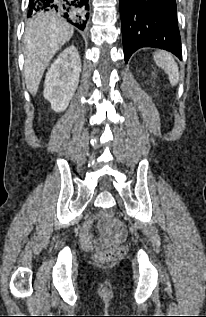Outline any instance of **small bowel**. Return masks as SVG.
Returning <instances> with one entry per match:
<instances>
[{"instance_id": "c3829d8e", "label": "small bowel", "mask_w": 206, "mask_h": 317, "mask_svg": "<svg viewBox=\"0 0 206 317\" xmlns=\"http://www.w3.org/2000/svg\"><path fill=\"white\" fill-rule=\"evenodd\" d=\"M98 216L93 215L82 225L80 230V238L83 244L86 246L87 243L92 239L91 230L93 224L96 222ZM125 236V231L122 226H118L115 230L114 237L118 240L123 239Z\"/></svg>"}]
</instances>
